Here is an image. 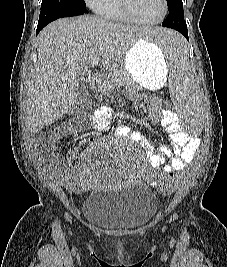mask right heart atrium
Segmentation results:
<instances>
[{
    "label": "right heart atrium",
    "mask_w": 227,
    "mask_h": 267,
    "mask_svg": "<svg viewBox=\"0 0 227 267\" xmlns=\"http://www.w3.org/2000/svg\"><path fill=\"white\" fill-rule=\"evenodd\" d=\"M84 2L94 12L101 14L108 7L111 0H84Z\"/></svg>",
    "instance_id": "obj_1"
}]
</instances>
